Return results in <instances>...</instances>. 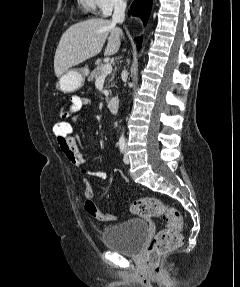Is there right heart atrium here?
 <instances>
[{
    "mask_svg": "<svg viewBox=\"0 0 240 287\" xmlns=\"http://www.w3.org/2000/svg\"><path fill=\"white\" fill-rule=\"evenodd\" d=\"M97 10L103 15H109L114 10L119 9L124 6V0H96Z\"/></svg>",
    "mask_w": 240,
    "mask_h": 287,
    "instance_id": "1",
    "label": "right heart atrium"
}]
</instances>
